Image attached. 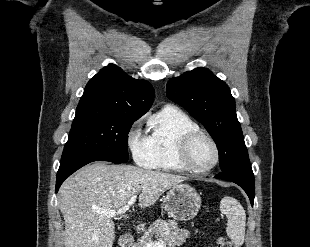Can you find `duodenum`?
Here are the masks:
<instances>
[{
  "instance_id": "duodenum-1",
  "label": "duodenum",
  "mask_w": 310,
  "mask_h": 247,
  "mask_svg": "<svg viewBox=\"0 0 310 247\" xmlns=\"http://www.w3.org/2000/svg\"><path fill=\"white\" fill-rule=\"evenodd\" d=\"M133 243L132 236L129 233H123L119 237L120 247H131Z\"/></svg>"
}]
</instances>
